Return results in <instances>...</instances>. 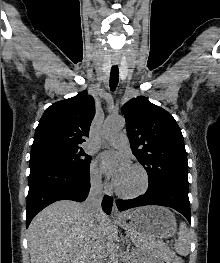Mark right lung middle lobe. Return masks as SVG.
<instances>
[{"instance_id":"dd1d6c3e","label":"right lung middle lobe","mask_w":220,"mask_h":263,"mask_svg":"<svg viewBox=\"0 0 220 263\" xmlns=\"http://www.w3.org/2000/svg\"><path fill=\"white\" fill-rule=\"evenodd\" d=\"M30 160H48L74 169H87L91 157L81 147L45 149L30 154Z\"/></svg>"}]
</instances>
